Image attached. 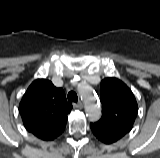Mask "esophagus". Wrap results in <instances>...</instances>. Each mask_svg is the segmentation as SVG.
I'll return each instance as SVG.
<instances>
[{
  "label": "esophagus",
  "mask_w": 160,
  "mask_h": 158,
  "mask_svg": "<svg viewBox=\"0 0 160 158\" xmlns=\"http://www.w3.org/2000/svg\"><path fill=\"white\" fill-rule=\"evenodd\" d=\"M74 107L82 109L83 108V103L81 101H79L77 104H73Z\"/></svg>",
  "instance_id": "1"
}]
</instances>
